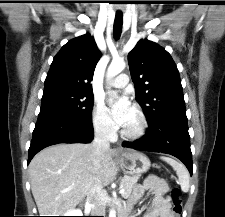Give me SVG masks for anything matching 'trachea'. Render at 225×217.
<instances>
[{"mask_svg":"<svg viewBox=\"0 0 225 217\" xmlns=\"http://www.w3.org/2000/svg\"><path fill=\"white\" fill-rule=\"evenodd\" d=\"M122 25H123L122 14H116L115 20H114V26H113L115 39H119L121 32H122Z\"/></svg>","mask_w":225,"mask_h":217,"instance_id":"trachea-1","label":"trachea"}]
</instances>
